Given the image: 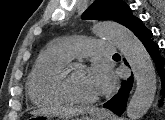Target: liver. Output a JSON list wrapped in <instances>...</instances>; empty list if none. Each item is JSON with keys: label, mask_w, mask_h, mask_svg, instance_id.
<instances>
[{"label": "liver", "mask_w": 165, "mask_h": 120, "mask_svg": "<svg viewBox=\"0 0 165 120\" xmlns=\"http://www.w3.org/2000/svg\"><path fill=\"white\" fill-rule=\"evenodd\" d=\"M86 111V109H73V108H67V107H57V108H51L49 110H38L32 112L33 114H39L41 112H51L54 114L61 115L63 117H71L75 115L82 114Z\"/></svg>", "instance_id": "1"}]
</instances>
